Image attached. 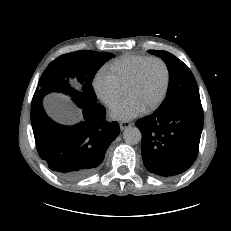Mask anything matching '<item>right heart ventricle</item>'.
I'll use <instances>...</instances> for the list:
<instances>
[{
	"mask_svg": "<svg viewBox=\"0 0 231 231\" xmlns=\"http://www.w3.org/2000/svg\"><path fill=\"white\" fill-rule=\"evenodd\" d=\"M150 56L126 54L107 64L105 69L114 77L122 90H125L136 69Z\"/></svg>",
	"mask_w": 231,
	"mask_h": 231,
	"instance_id": "e07e8e85",
	"label": "right heart ventricle"
}]
</instances>
